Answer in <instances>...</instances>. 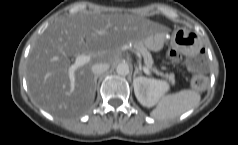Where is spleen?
Listing matches in <instances>:
<instances>
[{
    "label": "spleen",
    "mask_w": 238,
    "mask_h": 145,
    "mask_svg": "<svg viewBox=\"0 0 238 145\" xmlns=\"http://www.w3.org/2000/svg\"><path fill=\"white\" fill-rule=\"evenodd\" d=\"M201 96L194 90H181L177 93L161 96L150 115L157 120H169L198 106Z\"/></svg>",
    "instance_id": "obj_1"
}]
</instances>
